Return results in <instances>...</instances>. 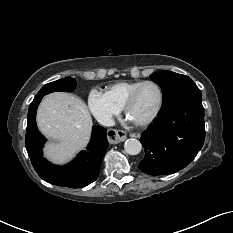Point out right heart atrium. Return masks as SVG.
<instances>
[{"mask_svg": "<svg viewBox=\"0 0 233 233\" xmlns=\"http://www.w3.org/2000/svg\"><path fill=\"white\" fill-rule=\"evenodd\" d=\"M88 107L94 117L104 125L110 124L121 111L106 93L96 89L91 90L88 95Z\"/></svg>", "mask_w": 233, "mask_h": 233, "instance_id": "obj_1", "label": "right heart atrium"}]
</instances>
